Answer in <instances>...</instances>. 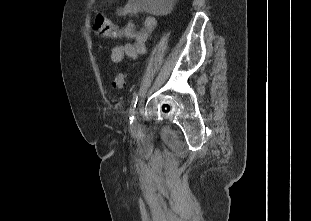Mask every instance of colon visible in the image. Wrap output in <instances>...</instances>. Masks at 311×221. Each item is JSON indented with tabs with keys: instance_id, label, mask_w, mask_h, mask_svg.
Here are the masks:
<instances>
[{
	"instance_id": "colon-1",
	"label": "colon",
	"mask_w": 311,
	"mask_h": 221,
	"mask_svg": "<svg viewBox=\"0 0 311 221\" xmlns=\"http://www.w3.org/2000/svg\"><path fill=\"white\" fill-rule=\"evenodd\" d=\"M95 29L99 35L105 38L113 39L116 36V25L110 19L103 16L97 19ZM126 78V74L118 73L112 81L113 87L119 89L124 88L126 85Z\"/></svg>"
}]
</instances>
